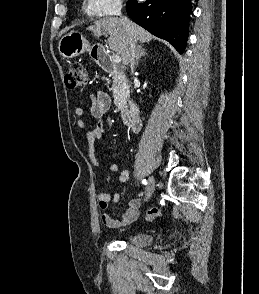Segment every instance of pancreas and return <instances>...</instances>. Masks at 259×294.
<instances>
[{
	"label": "pancreas",
	"instance_id": "1",
	"mask_svg": "<svg viewBox=\"0 0 259 294\" xmlns=\"http://www.w3.org/2000/svg\"><path fill=\"white\" fill-rule=\"evenodd\" d=\"M111 90L113 93L115 105L118 108H122L125 105L126 99L130 93L126 80L123 77L114 76Z\"/></svg>",
	"mask_w": 259,
	"mask_h": 294
}]
</instances>
